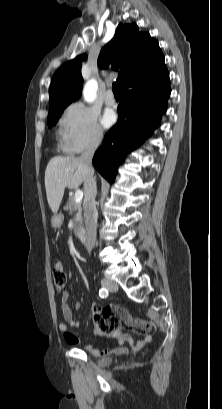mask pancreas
Returning <instances> with one entry per match:
<instances>
[{
    "instance_id": "pancreas-1",
    "label": "pancreas",
    "mask_w": 222,
    "mask_h": 409,
    "mask_svg": "<svg viewBox=\"0 0 222 409\" xmlns=\"http://www.w3.org/2000/svg\"><path fill=\"white\" fill-rule=\"evenodd\" d=\"M70 214L74 213L73 221L75 223V233L77 236H81V230L83 228V219H82V207L80 203H76L73 196H71L67 202L66 206Z\"/></svg>"
}]
</instances>
